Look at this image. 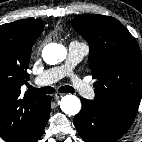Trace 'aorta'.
Here are the masks:
<instances>
[{"label":"aorta","mask_w":142,"mask_h":142,"mask_svg":"<svg viewBox=\"0 0 142 142\" xmlns=\"http://www.w3.org/2000/svg\"><path fill=\"white\" fill-rule=\"evenodd\" d=\"M42 57L47 64L54 65L66 57V50L59 44L50 43L44 47ZM60 108L65 114L73 116L80 112L81 101L74 95H66L60 101Z\"/></svg>","instance_id":"aorta-1"}]
</instances>
